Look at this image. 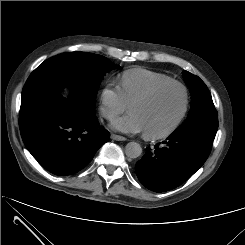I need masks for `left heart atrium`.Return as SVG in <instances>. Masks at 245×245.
<instances>
[{"label":"left heart atrium","mask_w":245,"mask_h":245,"mask_svg":"<svg viewBox=\"0 0 245 245\" xmlns=\"http://www.w3.org/2000/svg\"><path fill=\"white\" fill-rule=\"evenodd\" d=\"M114 130L124 133H140L144 132V127L139 117L130 112L129 114L114 120L111 123Z\"/></svg>","instance_id":"1"}]
</instances>
